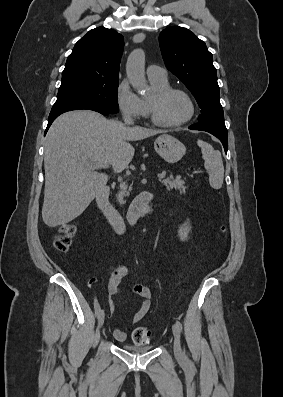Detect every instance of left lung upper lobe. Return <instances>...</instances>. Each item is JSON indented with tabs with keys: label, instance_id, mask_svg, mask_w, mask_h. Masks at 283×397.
<instances>
[{
	"label": "left lung upper lobe",
	"instance_id": "left-lung-upper-lobe-1",
	"mask_svg": "<svg viewBox=\"0 0 283 397\" xmlns=\"http://www.w3.org/2000/svg\"><path fill=\"white\" fill-rule=\"evenodd\" d=\"M159 43L167 69L196 98L201 108L199 122L225 127L217 71L206 44L190 30L179 26L164 29L159 35Z\"/></svg>",
	"mask_w": 283,
	"mask_h": 397
}]
</instances>
